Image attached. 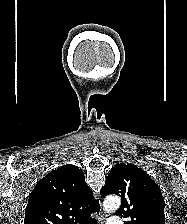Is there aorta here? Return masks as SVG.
<instances>
[{
  "instance_id": "obj_1",
  "label": "aorta",
  "mask_w": 187,
  "mask_h": 224,
  "mask_svg": "<svg viewBox=\"0 0 187 224\" xmlns=\"http://www.w3.org/2000/svg\"><path fill=\"white\" fill-rule=\"evenodd\" d=\"M121 200L118 196H109L105 198L103 206L106 211L112 212L120 207Z\"/></svg>"
}]
</instances>
